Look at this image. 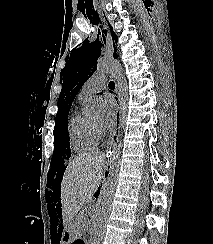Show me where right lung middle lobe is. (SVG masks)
<instances>
[{
	"mask_svg": "<svg viewBox=\"0 0 213 244\" xmlns=\"http://www.w3.org/2000/svg\"><path fill=\"white\" fill-rule=\"evenodd\" d=\"M56 136H54V152L51 160L50 170L48 173V180L53 179L58 176V173L64 168V159H68L71 156L69 149V141L67 144H63L59 135L57 134L56 129L54 130ZM54 134V135H55ZM58 137V138H57ZM68 140V136H67Z\"/></svg>",
	"mask_w": 213,
	"mask_h": 244,
	"instance_id": "obj_1",
	"label": "right lung middle lobe"
}]
</instances>
